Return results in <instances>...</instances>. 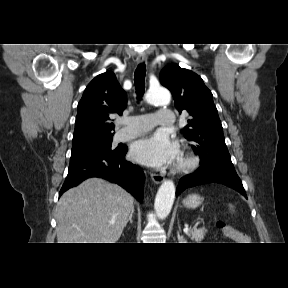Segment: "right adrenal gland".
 <instances>
[{
  "instance_id": "right-adrenal-gland-1",
  "label": "right adrenal gland",
  "mask_w": 288,
  "mask_h": 288,
  "mask_svg": "<svg viewBox=\"0 0 288 288\" xmlns=\"http://www.w3.org/2000/svg\"><path fill=\"white\" fill-rule=\"evenodd\" d=\"M133 214H134V208L132 209V211H131V213H130V215H129V218H128V220H127V223H128V222H130L131 224L133 223V221H132Z\"/></svg>"
}]
</instances>
